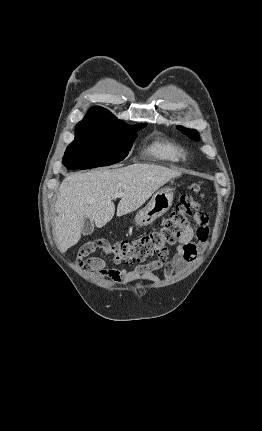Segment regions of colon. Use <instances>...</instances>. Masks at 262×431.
Returning <instances> with one entry per match:
<instances>
[{
	"instance_id": "1",
	"label": "colon",
	"mask_w": 262,
	"mask_h": 431,
	"mask_svg": "<svg viewBox=\"0 0 262 431\" xmlns=\"http://www.w3.org/2000/svg\"><path fill=\"white\" fill-rule=\"evenodd\" d=\"M202 196L200 187L194 185L192 192L180 197L176 209L156 230L125 241L113 242L101 238L84 244L78 252L79 264L89 270L88 264L82 259L96 249L120 264L141 263L154 257L165 256L168 247L177 241L191 222L197 219L201 224H207V215L199 211Z\"/></svg>"
}]
</instances>
